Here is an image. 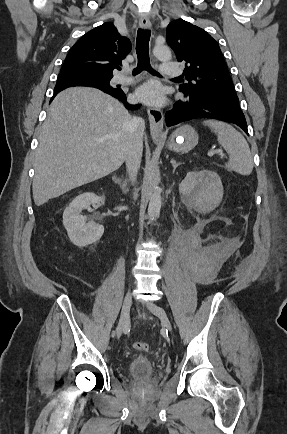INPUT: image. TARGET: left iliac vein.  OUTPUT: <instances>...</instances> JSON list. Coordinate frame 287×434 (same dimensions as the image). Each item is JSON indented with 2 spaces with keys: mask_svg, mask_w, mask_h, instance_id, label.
Segmentation results:
<instances>
[{
  "mask_svg": "<svg viewBox=\"0 0 287 434\" xmlns=\"http://www.w3.org/2000/svg\"><path fill=\"white\" fill-rule=\"evenodd\" d=\"M148 308L155 316H157L160 319L162 325L166 329H168L169 331L172 330V325H171L170 319H169L164 308H162L161 306H158L154 303L148 304Z\"/></svg>",
  "mask_w": 287,
  "mask_h": 434,
  "instance_id": "1",
  "label": "left iliac vein"
}]
</instances>
